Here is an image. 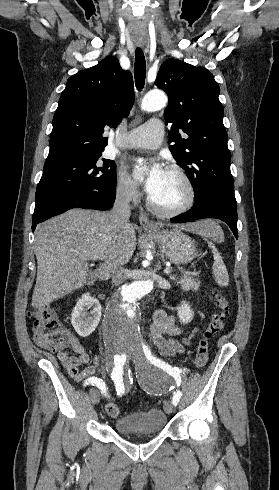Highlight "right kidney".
<instances>
[{"label": "right kidney", "instance_id": "ca27d5eb", "mask_svg": "<svg viewBox=\"0 0 279 490\" xmlns=\"http://www.w3.org/2000/svg\"><path fill=\"white\" fill-rule=\"evenodd\" d=\"M92 308L91 312H87ZM102 316L101 304L90 294H83L78 300L72 314L71 324L81 338H87L96 330Z\"/></svg>", "mask_w": 279, "mask_h": 490}]
</instances>
